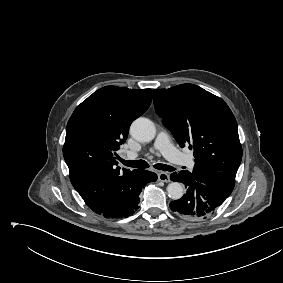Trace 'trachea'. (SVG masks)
<instances>
[{"mask_svg": "<svg viewBox=\"0 0 283 283\" xmlns=\"http://www.w3.org/2000/svg\"><path fill=\"white\" fill-rule=\"evenodd\" d=\"M120 161H121L122 164H124L125 166H128V167L141 168V169L149 167V164L144 160L127 161V160L120 159ZM154 168H156L158 170L169 171V172L175 170L174 167H172L170 165H166V164H161V163L155 164Z\"/></svg>", "mask_w": 283, "mask_h": 283, "instance_id": "trachea-1", "label": "trachea"}]
</instances>
